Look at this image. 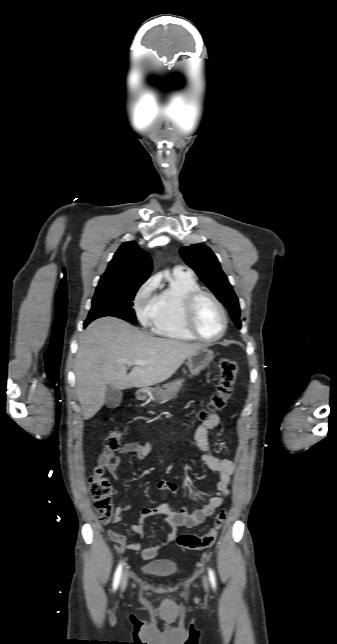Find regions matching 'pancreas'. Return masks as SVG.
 Segmentation results:
<instances>
[{"label":"pancreas","mask_w":337,"mask_h":644,"mask_svg":"<svg viewBox=\"0 0 337 644\" xmlns=\"http://www.w3.org/2000/svg\"><path fill=\"white\" fill-rule=\"evenodd\" d=\"M182 383L183 380H175L171 383L165 384L163 388H155V397L160 401V403L169 401L170 399L176 397L178 391L182 387Z\"/></svg>","instance_id":"cf45deb5"}]
</instances>
